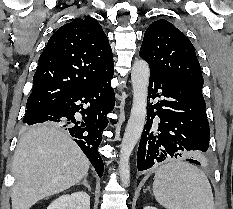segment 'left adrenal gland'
I'll use <instances>...</instances> for the list:
<instances>
[{"label":"left adrenal gland","instance_id":"a2214340","mask_svg":"<svg viewBox=\"0 0 233 209\" xmlns=\"http://www.w3.org/2000/svg\"><path fill=\"white\" fill-rule=\"evenodd\" d=\"M146 191H150V187H148L144 192H146Z\"/></svg>","mask_w":233,"mask_h":209}]
</instances>
